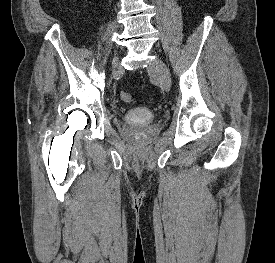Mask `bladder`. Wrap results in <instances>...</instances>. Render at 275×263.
<instances>
[{
  "mask_svg": "<svg viewBox=\"0 0 275 263\" xmlns=\"http://www.w3.org/2000/svg\"><path fill=\"white\" fill-rule=\"evenodd\" d=\"M154 113L144 107L131 108L124 114V121L133 126H146L153 122Z\"/></svg>",
  "mask_w": 275,
  "mask_h": 263,
  "instance_id": "obj_1",
  "label": "bladder"
}]
</instances>
